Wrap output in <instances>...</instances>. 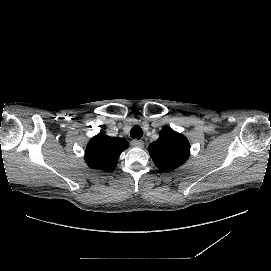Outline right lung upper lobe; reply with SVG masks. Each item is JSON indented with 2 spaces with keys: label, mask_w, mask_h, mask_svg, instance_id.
<instances>
[{
  "label": "right lung upper lobe",
  "mask_w": 271,
  "mask_h": 271,
  "mask_svg": "<svg viewBox=\"0 0 271 271\" xmlns=\"http://www.w3.org/2000/svg\"><path fill=\"white\" fill-rule=\"evenodd\" d=\"M128 146V142L123 138L109 137L100 133L90 139L85 160L89 167L109 172L115 169L119 155Z\"/></svg>",
  "instance_id": "obj_1"
}]
</instances>
